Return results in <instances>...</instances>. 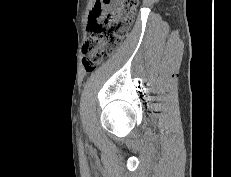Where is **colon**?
<instances>
[{
  "instance_id": "5ec220e1",
  "label": "colon",
  "mask_w": 231,
  "mask_h": 177,
  "mask_svg": "<svg viewBox=\"0 0 231 177\" xmlns=\"http://www.w3.org/2000/svg\"><path fill=\"white\" fill-rule=\"evenodd\" d=\"M116 4V9L99 21L101 5ZM138 0H98L89 18V36L83 46V66L93 71L109 58L126 36L132 22Z\"/></svg>"
}]
</instances>
